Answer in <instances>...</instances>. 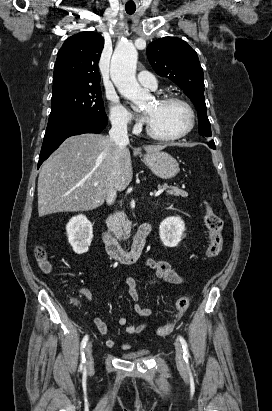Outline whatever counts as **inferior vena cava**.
<instances>
[{
	"instance_id": "602c4592",
	"label": "inferior vena cava",
	"mask_w": 272,
	"mask_h": 411,
	"mask_svg": "<svg viewBox=\"0 0 272 411\" xmlns=\"http://www.w3.org/2000/svg\"><path fill=\"white\" fill-rule=\"evenodd\" d=\"M112 128L109 131L110 140L117 147L118 151L124 148L129 143V138L127 135V121L121 118H115L111 120ZM118 152L114 156L115 167L118 161ZM114 174H111L110 183L107 189L106 201L111 204L116 198V189L114 186Z\"/></svg>"
}]
</instances>
